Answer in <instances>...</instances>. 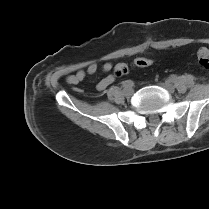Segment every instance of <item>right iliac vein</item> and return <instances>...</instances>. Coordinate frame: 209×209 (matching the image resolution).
<instances>
[{
    "label": "right iliac vein",
    "mask_w": 209,
    "mask_h": 209,
    "mask_svg": "<svg viewBox=\"0 0 209 209\" xmlns=\"http://www.w3.org/2000/svg\"><path fill=\"white\" fill-rule=\"evenodd\" d=\"M124 94H125L126 96H130V95L132 94V89H131V88L125 89V90H124Z\"/></svg>",
    "instance_id": "obj_1"
}]
</instances>
